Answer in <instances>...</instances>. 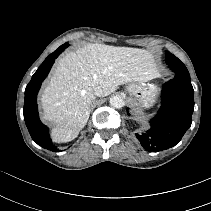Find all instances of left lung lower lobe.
Here are the masks:
<instances>
[{"mask_svg": "<svg viewBox=\"0 0 211 211\" xmlns=\"http://www.w3.org/2000/svg\"><path fill=\"white\" fill-rule=\"evenodd\" d=\"M193 94L189 73L177 72L164 84L161 108L150 121L151 128L146 133L136 134L145 150H166L180 142L191 126Z\"/></svg>", "mask_w": 211, "mask_h": 211, "instance_id": "obj_1", "label": "left lung lower lobe"}]
</instances>
